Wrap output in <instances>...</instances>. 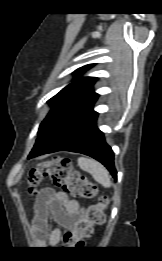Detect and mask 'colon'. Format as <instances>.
<instances>
[{"mask_svg":"<svg viewBox=\"0 0 162 261\" xmlns=\"http://www.w3.org/2000/svg\"><path fill=\"white\" fill-rule=\"evenodd\" d=\"M46 177L73 197L88 199L97 195L95 184L87 176L74 170L69 158L54 157L31 169L28 177L30 192L34 193L35 188ZM107 204L108 198L102 196L97 204L88 206L78 217L74 230L68 238L75 247H83L85 241L92 236L93 226L104 222V209Z\"/></svg>","mask_w":162,"mask_h":261,"instance_id":"colon-1","label":"colon"}]
</instances>
